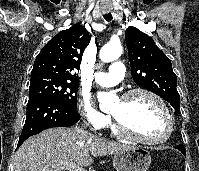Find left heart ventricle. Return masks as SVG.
Listing matches in <instances>:
<instances>
[{
    "mask_svg": "<svg viewBox=\"0 0 199 171\" xmlns=\"http://www.w3.org/2000/svg\"><path fill=\"white\" fill-rule=\"evenodd\" d=\"M110 112L120 118L131 131L141 136L159 139L166 134L165 115L149 96L140 94L125 101L120 99Z\"/></svg>",
    "mask_w": 199,
    "mask_h": 171,
    "instance_id": "b2bd125f",
    "label": "left heart ventricle"
}]
</instances>
